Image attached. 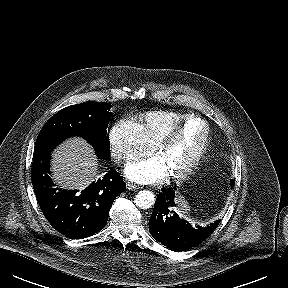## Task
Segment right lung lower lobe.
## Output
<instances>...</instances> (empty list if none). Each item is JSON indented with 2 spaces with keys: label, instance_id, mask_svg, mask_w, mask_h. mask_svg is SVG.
Here are the masks:
<instances>
[{
  "label": "right lung lower lobe",
  "instance_id": "obj_1",
  "mask_svg": "<svg viewBox=\"0 0 288 288\" xmlns=\"http://www.w3.org/2000/svg\"><path fill=\"white\" fill-rule=\"evenodd\" d=\"M50 152L33 155L31 180L40 208L51 226L61 234L85 238L101 231L109 210L126 184L113 168L83 191L54 188L49 176Z\"/></svg>",
  "mask_w": 288,
  "mask_h": 288
}]
</instances>
